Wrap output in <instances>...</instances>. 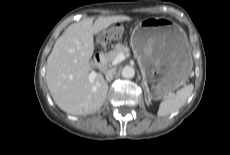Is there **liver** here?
Wrapping results in <instances>:
<instances>
[{
  "instance_id": "liver-1",
  "label": "liver",
  "mask_w": 230,
  "mask_h": 155,
  "mask_svg": "<svg viewBox=\"0 0 230 155\" xmlns=\"http://www.w3.org/2000/svg\"><path fill=\"white\" fill-rule=\"evenodd\" d=\"M128 16L86 18L68 26L55 42L47 59L46 82L53 100L66 113L96 112L104 103L108 84L101 73L90 81V58L94 35L113 23L130 21Z\"/></svg>"
}]
</instances>
